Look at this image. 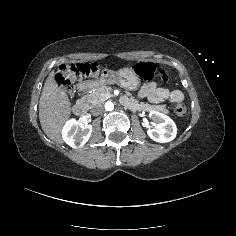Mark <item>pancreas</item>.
Masks as SVG:
<instances>
[{
    "instance_id": "cf45deb5",
    "label": "pancreas",
    "mask_w": 236,
    "mask_h": 236,
    "mask_svg": "<svg viewBox=\"0 0 236 236\" xmlns=\"http://www.w3.org/2000/svg\"><path fill=\"white\" fill-rule=\"evenodd\" d=\"M112 88L108 86H98L95 87L94 90L85 95L81 98V101L92 106L97 103H103L108 98L112 97L111 94ZM119 102L123 105L126 109H129L133 112L135 111H150V110H157L163 112L164 114L169 113L166 109V105H149L143 102H139L132 96L131 93L126 92L125 95L119 98Z\"/></svg>"
}]
</instances>
